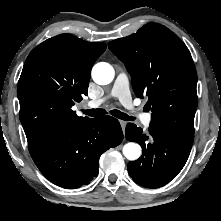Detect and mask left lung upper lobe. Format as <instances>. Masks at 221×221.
I'll list each match as a JSON object with an SVG mask.
<instances>
[{"instance_id":"5c2ea615","label":"left lung upper lobe","mask_w":221,"mask_h":221,"mask_svg":"<svg viewBox=\"0 0 221 221\" xmlns=\"http://www.w3.org/2000/svg\"><path fill=\"white\" fill-rule=\"evenodd\" d=\"M108 46L124 62L136 95L148 97L151 122L194 135L197 73L186 45L165 26L151 23Z\"/></svg>"}]
</instances>
